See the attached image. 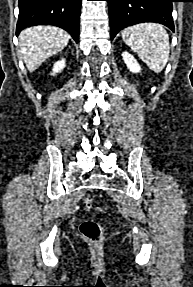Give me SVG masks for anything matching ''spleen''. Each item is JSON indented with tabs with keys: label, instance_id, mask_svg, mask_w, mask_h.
<instances>
[{
	"label": "spleen",
	"instance_id": "spleen-1",
	"mask_svg": "<svg viewBox=\"0 0 193 287\" xmlns=\"http://www.w3.org/2000/svg\"><path fill=\"white\" fill-rule=\"evenodd\" d=\"M123 41L147 64L159 73L165 67L170 53L169 36L164 27L157 23H142L125 28Z\"/></svg>",
	"mask_w": 193,
	"mask_h": 287
}]
</instances>
